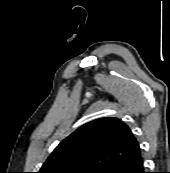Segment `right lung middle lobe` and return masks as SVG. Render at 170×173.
<instances>
[{
  "label": "right lung middle lobe",
  "instance_id": "dd1d6c3e",
  "mask_svg": "<svg viewBox=\"0 0 170 173\" xmlns=\"http://www.w3.org/2000/svg\"><path fill=\"white\" fill-rule=\"evenodd\" d=\"M66 173H86L85 171H66Z\"/></svg>",
  "mask_w": 170,
  "mask_h": 173
}]
</instances>
